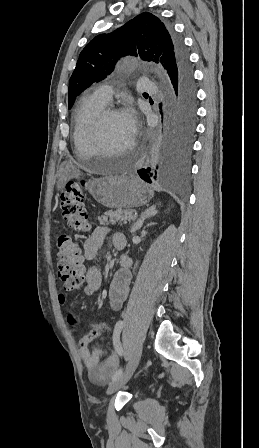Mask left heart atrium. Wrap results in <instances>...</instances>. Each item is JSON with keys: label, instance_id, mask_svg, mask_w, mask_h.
I'll return each mask as SVG.
<instances>
[{"label": "left heart atrium", "instance_id": "39dd6f15", "mask_svg": "<svg viewBox=\"0 0 259 448\" xmlns=\"http://www.w3.org/2000/svg\"><path fill=\"white\" fill-rule=\"evenodd\" d=\"M121 117L134 137L137 132V118L135 112L132 108L127 107L122 111Z\"/></svg>", "mask_w": 259, "mask_h": 448}]
</instances>
